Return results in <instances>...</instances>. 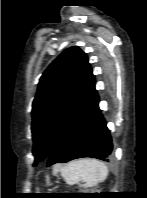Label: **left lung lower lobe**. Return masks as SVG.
<instances>
[{
    "instance_id": "1",
    "label": "left lung lower lobe",
    "mask_w": 147,
    "mask_h": 198,
    "mask_svg": "<svg viewBox=\"0 0 147 198\" xmlns=\"http://www.w3.org/2000/svg\"><path fill=\"white\" fill-rule=\"evenodd\" d=\"M98 103L99 97L94 87L83 108L54 145L47 166L83 157L109 160L112 140Z\"/></svg>"
}]
</instances>
